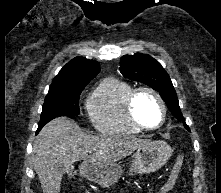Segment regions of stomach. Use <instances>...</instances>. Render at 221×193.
Wrapping results in <instances>:
<instances>
[{
    "mask_svg": "<svg viewBox=\"0 0 221 193\" xmlns=\"http://www.w3.org/2000/svg\"><path fill=\"white\" fill-rule=\"evenodd\" d=\"M173 149L166 142H148L138 148L134 153L130 174H144L155 172L170 159ZM122 169L118 164L94 165L83 161L80 165V175L102 187L115 184L121 177Z\"/></svg>",
    "mask_w": 221,
    "mask_h": 193,
    "instance_id": "stomach-1",
    "label": "stomach"
}]
</instances>
